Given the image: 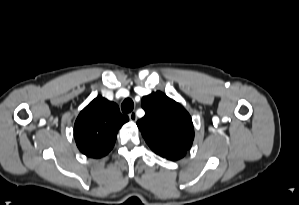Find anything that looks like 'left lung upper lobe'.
I'll return each mask as SVG.
<instances>
[{
  "label": "left lung upper lobe",
  "mask_w": 299,
  "mask_h": 205,
  "mask_svg": "<svg viewBox=\"0 0 299 205\" xmlns=\"http://www.w3.org/2000/svg\"><path fill=\"white\" fill-rule=\"evenodd\" d=\"M145 116L137 126L146 143L158 155L190 149L194 128L189 113L177 102L157 91L142 98Z\"/></svg>",
  "instance_id": "obj_1"
}]
</instances>
